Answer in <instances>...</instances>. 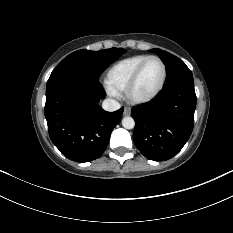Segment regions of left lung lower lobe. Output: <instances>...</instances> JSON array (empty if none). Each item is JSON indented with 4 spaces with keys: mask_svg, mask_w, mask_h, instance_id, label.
Masks as SVG:
<instances>
[{
    "mask_svg": "<svg viewBox=\"0 0 233 233\" xmlns=\"http://www.w3.org/2000/svg\"><path fill=\"white\" fill-rule=\"evenodd\" d=\"M195 108L194 82L164 87L153 100L133 108V140L139 151L154 161L175 156L192 133Z\"/></svg>",
    "mask_w": 233,
    "mask_h": 233,
    "instance_id": "1",
    "label": "left lung lower lobe"
}]
</instances>
